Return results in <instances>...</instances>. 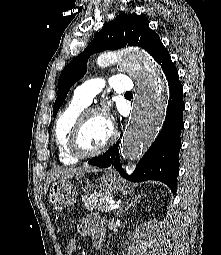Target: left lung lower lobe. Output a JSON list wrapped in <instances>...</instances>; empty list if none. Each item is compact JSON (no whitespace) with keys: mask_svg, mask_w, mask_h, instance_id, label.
Segmentation results:
<instances>
[{"mask_svg":"<svg viewBox=\"0 0 221 255\" xmlns=\"http://www.w3.org/2000/svg\"><path fill=\"white\" fill-rule=\"evenodd\" d=\"M161 65L168 80L170 98L165 122L158 137L139 161L133 174L128 175L122 169L119 157V141L108 151L88 161L98 167L114 168L125 178L133 182L157 180L168 185L175 194L179 173V151L181 148L180 133L183 128V87L179 81L178 71L171 57L163 47L155 57Z\"/></svg>","mask_w":221,"mask_h":255,"instance_id":"left-lung-lower-lobe-1","label":"left lung lower lobe"}]
</instances>
